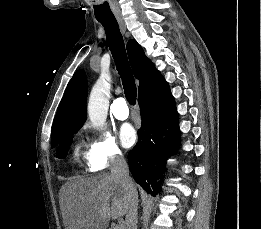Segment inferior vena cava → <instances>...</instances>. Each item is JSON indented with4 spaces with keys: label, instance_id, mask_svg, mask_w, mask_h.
<instances>
[{
    "label": "inferior vena cava",
    "instance_id": "inferior-vena-cava-1",
    "mask_svg": "<svg viewBox=\"0 0 261 229\" xmlns=\"http://www.w3.org/2000/svg\"><path fill=\"white\" fill-rule=\"evenodd\" d=\"M110 167H111L112 177H116L119 183L123 185L124 191H126L130 199L128 211L126 213L125 229H137L138 201H137V193H135L136 187L131 177H129V167L123 155H119V157H115V159H112Z\"/></svg>",
    "mask_w": 261,
    "mask_h": 229
}]
</instances>
